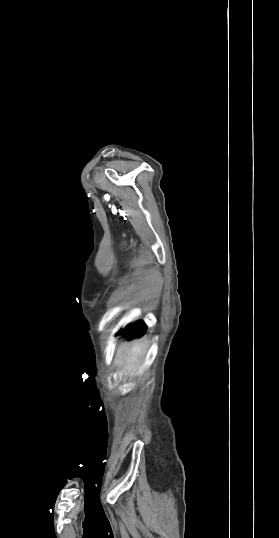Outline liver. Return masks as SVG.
Returning a JSON list of instances; mask_svg holds the SVG:
<instances>
[{
	"mask_svg": "<svg viewBox=\"0 0 279 538\" xmlns=\"http://www.w3.org/2000/svg\"><path fill=\"white\" fill-rule=\"evenodd\" d=\"M147 344L145 342H136L132 348L127 346H120L116 352V358L114 360L117 368H125V376H138L139 368L144 360L146 354Z\"/></svg>",
	"mask_w": 279,
	"mask_h": 538,
	"instance_id": "obj_1",
	"label": "liver"
}]
</instances>
